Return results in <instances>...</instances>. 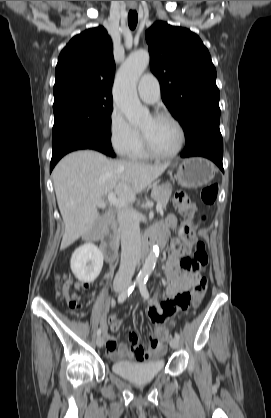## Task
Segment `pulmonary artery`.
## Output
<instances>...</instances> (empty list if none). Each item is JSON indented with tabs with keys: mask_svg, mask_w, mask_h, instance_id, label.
Returning <instances> with one entry per match:
<instances>
[{
	"mask_svg": "<svg viewBox=\"0 0 271 418\" xmlns=\"http://www.w3.org/2000/svg\"><path fill=\"white\" fill-rule=\"evenodd\" d=\"M139 97L146 103H155L160 98V85L157 78L151 74H144L137 86Z\"/></svg>",
	"mask_w": 271,
	"mask_h": 418,
	"instance_id": "pulmonary-artery-1",
	"label": "pulmonary artery"
}]
</instances>
